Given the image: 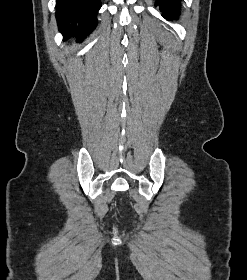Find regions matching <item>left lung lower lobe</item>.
Returning <instances> with one entry per match:
<instances>
[{
	"label": "left lung lower lobe",
	"mask_w": 247,
	"mask_h": 280,
	"mask_svg": "<svg viewBox=\"0 0 247 280\" xmlns=\"http://www.w3.org/2000/svg\"><path fill=\"white\" fill-rule=\"evenodd\" d=\"M181 0H158L156 6H160L162 16L167 20H178L181 10Z\"/></svg>",
	"instance_id": "left-lung-lower-lobe-1"
}]
</instances>
